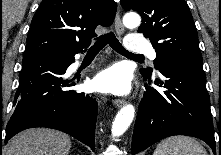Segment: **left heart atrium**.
<instances>
[{
	"instance_id": "1",
	"label": "left heart atrium",
	"mask_w": 221,
	"mask_h": 155,
	"mask_svg": "<svg viewBox=\"0 0 221 155\" xmlns=\"http://www.w3.org/2000/svg\"><path fill=\"white\" fill-rule=\"evenodd\" d=\"M93 86L99 92L126 94L131 88V75L124 66L116 64L98 73Z\"/></svg>"
}]
</instances>
